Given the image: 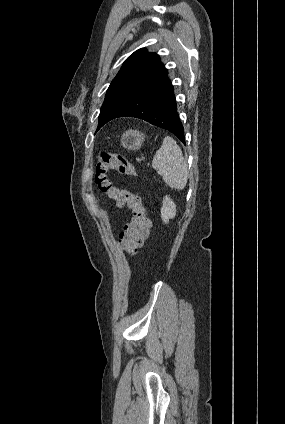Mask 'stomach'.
<instances>
[{
    "mask_svg": "<svg viewBox=\"0 0 285 424\" xmlns=\"http://www.w3.org/2000/svg\"><path fill=\"white\" fill-rule=\"evenodd\" d=\"M145 140V135L137 130H127L121 137V143L128 150L140 149Z\"/></svg>",
    "mask_w": 285,
    "mask_h": 424,
    "instance_id": "0dacf381",
    "label": "stomach"
}]
</instances>
